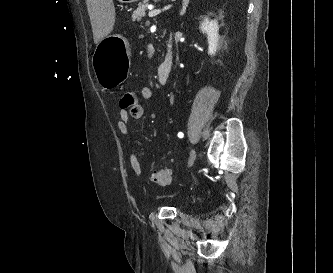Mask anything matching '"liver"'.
I'll use <instances>...</instances> for the list:
<instances>
[{"instance_id": "liver-1", "label": "liver", "mask_w": 333, "mask_h": 273, "mask_svg": "<svg viewBox=\"0 0 333 273\" xmlns=\"http://www.w3.org/2000/svg\"><path fill=\"white\" fill-rule=\"evenodd\" d=\"M95 44H98L112 30L115 23L113 0H86Z\"/></svg>"}]
</instances>
